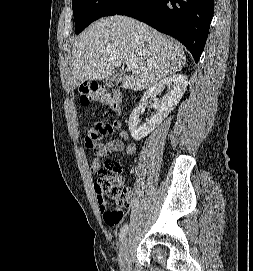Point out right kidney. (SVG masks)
I'll return each instance as SVG.
<instances>
[{
	"mask_svg": "<svg viewBox=\"0 0 253 271\" xmlns=\"http://www.w3.org/2000/svg\"><path fill=\"white\" fill-rule=\"evenodd\" d=\"M188 85V78L182 74H174L160 80L158 83L150 87L140 100L139 106H137L129 117V131L131 136L135 140H141L152 132L162 121L167 118L169 113L181 100L186 87ZM167 86L170 93L167 98L161 99L156 102L154 107L156 114H154L150 120H147L145 124L139 125V115L144 110L146 102L150 97H156L162 89Z\"/></svg>",
	"mask_w": 253,
	"mask_h": 271,
	"instance_id": "right-kidney-1",
	"label": "right kidney"
}]
</instances>
